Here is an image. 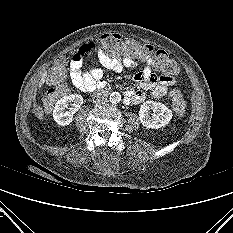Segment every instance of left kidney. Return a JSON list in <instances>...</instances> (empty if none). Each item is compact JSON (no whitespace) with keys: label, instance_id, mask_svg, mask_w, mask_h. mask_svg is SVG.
Returning a JSON list of instances; mask_svg holds the SVG:
<instances>
[{"label":"left kidney","instance_id":"obj_1","mask_svg":"<svg viewBox=\"0 0 233 233\" xmlns=\"http://www.w3.org/2000/svg\"><path fill=\"white\" fill-rule=\"evenodd\" d=\"M149 110L153 111L151 116ZM139 119L146 128L158 129L170 122L172 119V111L164 104L150 100L141 105Z\"/></svg>","mask_w":233,"mask_h":233}]
</instances>
